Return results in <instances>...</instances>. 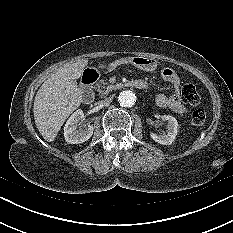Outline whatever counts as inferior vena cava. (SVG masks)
Masks as SVG:
<instances>
[{
    "mask_svg": "<svg viewBox=\"0 0 233 233\" xmlns=\"http://www.w3.org/2000/svg\"><path fill=\"white\" fill-rule=\"evenodd\" d=\"M112 100H113V97H107V98H104L103 100H101L99 102V104L102 106H109L110 103L112 102Z\"/></svg>",
    "mask_w": 233,
    "mask_h": 233,
    "instance_id": "inferior-vena-cava-1",
    "label": "inferior vena cava"
}]
</instances>
